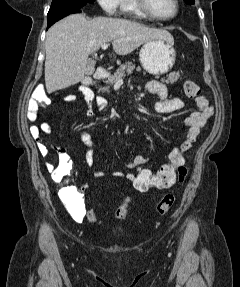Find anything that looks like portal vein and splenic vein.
Wrapping results in <instances>:
<instances>
[{
  "label": "portal vein and splenic vein",
  "instance_id": "obj_1",
  "mask_svg": "<svg viewBox=\"0 0 240 287\" xmlns=\"http://www.w3.org/2000/svg\"><path fill=\"white\" fill-rule=\"evenodd\" d=\"M108 46H109V44H103V45L101 46V48H102L103 50H105V49L108 48Z\"/></svg>",
  "mask_w": 240,
  "mask_h": 287
}]
</instances>
